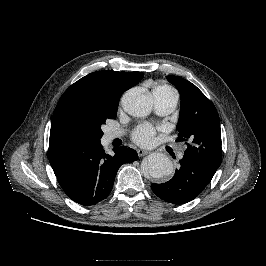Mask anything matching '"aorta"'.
I'll return each instance as SVG.
<instances>
[{
    "mask_svg": "<svg viewBox=\"0 0 266 266\" xmlns=\"http://www.w3.org/2000/svg\"><path fill=\"white\" fill-rule=\"evenodd\" d=\"M121 103L124 111L129 115L144 117L150 113L153 100L151 95L131 89L122 96ZM142 171L152 178L159 179L173 172V163L162 153H152L147 156L142 165Z\"/></svg>",
    "mask_w": 266,
    "mask_h": 266,
    "instance_id": "obj_1",
    "label": "aorta"
}]
</instances>
